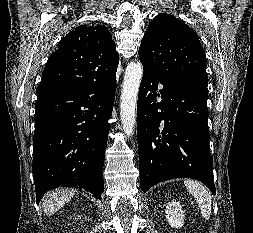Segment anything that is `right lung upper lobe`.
Returning a JSON list of instances; mask_svg holds the SVG:
<instances>
[{
  "label": "right lung upper lobe",
  "mask_w": 253,
  "mask_h": 233,
  "mask_svg": "<svg viewBox=\"0 0 253 233\" xmlns=\"http://www.w3.org/2000/svg\"><path fill=\"white\" fill-rule=\"evenodd\" d=\"M118 63L115 42L105 26H79L48 59L36 92L106 77L117 70Z\"/></svg>",
  "instance_id": "obj_1"
}]
</instances>
